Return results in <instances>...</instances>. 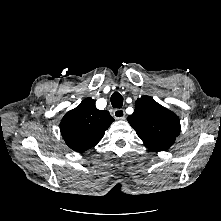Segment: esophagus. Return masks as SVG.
Masks as SVG:
<instances>
[{
  "mask_svg": "<svg viewBox=\"0 0 221 221\" xmlns=\"http://www.w3.org/2000/svg\"><path fill=\"white\" fill-rule=\"evenodd\" d=\"M113 117L115 119H124L125 118V110L124 109H115L113 111Z\"/></svg>",
  "mask_w": 221,
  "mask_h": 221,
  "instance_id": "esophagus-1",
  "label": "esophagus"
}]
</instances>
